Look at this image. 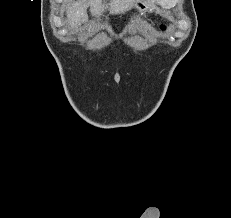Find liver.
<instances>
[{"instance_id": "1", "label": "liver", "mask_w": 231, "mask_h": 218, "mask_svg": "<svg viewBox=\"0 0 231 218\" xmlns=\"http://www.w3.org/2000/svg\"><path fill=\"white\" fill-rule=\"evenodd\" d=\"M134 0H77L67 5V21L72 28H78L88 19L87 7L91 8L93 15L100 16L104 11L109 10L110 14L125 13L131 9Z\"/></svg>"}]
</instances>
